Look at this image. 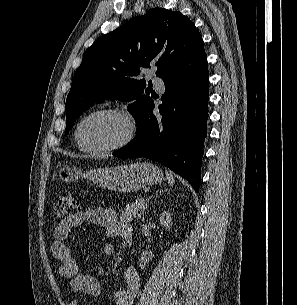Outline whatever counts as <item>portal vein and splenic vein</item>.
Listing matches in <instances>:
<instances>
[{"label":"portal vein and splenic vein","instance_id":"18ae733b","mask_svg":"<svg viewBox=\"0 0 297 305\" xmlns=\"http://www.w3.org/2000/svg\"><path fill=\"white\" fill-rule=\"evenodd\" d=\"M144 202L143 199H140L139 202H137L138 205L142 204Z\"/></svg>","mask_w":297,"mask_h":305}]
</instances>
